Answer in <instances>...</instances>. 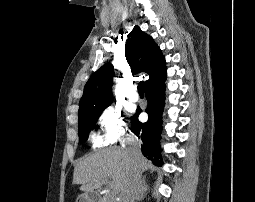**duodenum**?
<instances>
[{
  "label": "duodenum",
  "mask_w": 255,
  "mask_h": 202,
  "mask_svg": "<svg viewBox=\"0 0 255 202\" xmlns=\"http://www.w3.org/2000/svg\"><path fill=\"white\" fill-rule=\"evenodd\" d=\"M83 202H97L96 195L89 193L87 197L83 199Z\"/></svg>",
  "instance_id": "410a0bca"
}]
</instances>
